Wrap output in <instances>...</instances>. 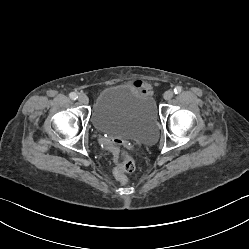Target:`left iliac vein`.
Wrapping results in <instances>:
<instances>
[{"mask_svg":"<svg viewBox=\"0 0 249 249\" xmlns=\"http://www.w3.org/2000/svg\"><path fill=\"white\" fill-rule=\"evenodd\" d=\"M174 93L171 90H168L164 93L163 97L165 100H170L173 97Z\"/></svg>","mask_w":249,"mask_h":249,"instance_id":"4c4485c4","label":"left iliac vein"}]
</instances>
